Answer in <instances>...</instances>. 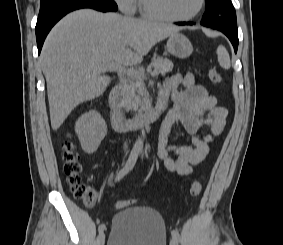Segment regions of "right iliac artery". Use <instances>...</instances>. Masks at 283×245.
Masks as SVG:
<instances>
[{"instance_id":"obj_1","label":"right iliac artery","mask_w":283,"mask_h":245,"mask_svg":"<svg viewBox=\"0 0 283 245\" xmlns=\"http://www.w3.org/2000/svg\"><path fill=\"white\" fill-rule=\"evenodd\" d=\"M139 151L136 149H133L130 153V156L124 165V167L118 172L115 182L120 181L125 175H127L135 166L136 161L138 159ZM106 228L105 224H101L98 228V230L101 232Z\"/></svg>"}]
</instances>
